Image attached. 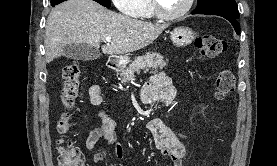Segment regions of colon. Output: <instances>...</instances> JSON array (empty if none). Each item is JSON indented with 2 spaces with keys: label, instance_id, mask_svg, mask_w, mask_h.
<instances>
[{
  "label": "colon",
  "instance_id": "1",
  "mask_svg": "<svg viewBox=\"0 0 277 166\" xmlns=\"http://www.w3.org/2000/svg\"><path fill=\"white\" fill-rule=\"evenodd\" d=\"M195 46L200 55L207 58H215L227 51V42L213 35H202L196 38ZM64 80L61 93V101L64 106L58 121V131L62 135L59 139L58 162L60 166H83V160L79 149L68 138L71 129V110L74 108L80 89V68L76 62L67 64L62 72ZM235 79L228 69H220L215 76V97L225 100L233 91Z\"/></svg>",
  "mask_w": 277,
  "mask_h": 166
}]
</instances>
